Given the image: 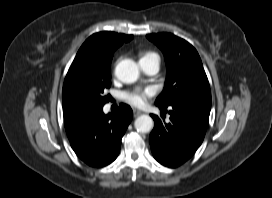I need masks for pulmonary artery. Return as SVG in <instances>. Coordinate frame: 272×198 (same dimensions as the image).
Instances as JSON below:
<instances>
[{
    "label": "pulmonary artery",
    "instance_id": "obj_1",
    "mask_svg": "<svg viewBox=\"0 0 272 198\" xmlns=\"http://www.w3.org/2000/svg\"><path fill=\"white\" fill-rule=\"evenodd\" d=\"M139 65L142 71L147 75H155L159 70L160 61L158 57H151L140 60Z\"/></svg>",
    "mask_w": 272,
    "mask_h": 198
}]
</instances>
